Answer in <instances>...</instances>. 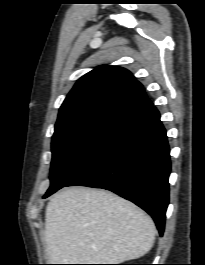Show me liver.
Segmentation results:
<instances>
[{
    "label": "liver",
    "instance_id": "liver-1",
    "mask_svg": "<svg viewBox=\"0 0 205 265\" xmlns=\"http://www.w3.org/2000/svg\"><path fill=\"white\" fill-rule=\"evenodd\" d=\"M150 216L111 192L68 188L45 212L46 253L51 264H119L147 254L154 243Z\"/></svg>",
    "mask_w": 205,
    "mask_h": 265
}]
</instances>
